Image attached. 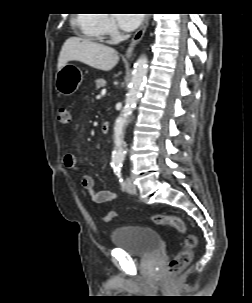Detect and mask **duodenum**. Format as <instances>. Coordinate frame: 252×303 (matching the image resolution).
Segmentation results:
<instances>
[{
	"mask_svg": "<svg viewBox=\"0 0 252 303\" xmlns=\"http://www.w3.org/2000/svg\"><path fill=\"white\" fill-rule=\"evenodd\" d=\"M109 128H110V122H109V121H105V122L101 125L100 130H101L102 133H107L108 130H109Z\"/></svg>",
	"mask_w": 252,
	"mask_h": 303,
	"instance_id": "410a0bca",
	"label": "duodenum"
}]
</instances>
